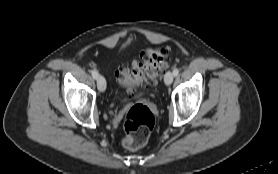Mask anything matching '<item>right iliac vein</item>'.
I'll use <instances>...</instances> for the list:
<instances>
[{"label":"right iliac vein","mask_w":278,"mask_h":174,"mask_svg":"<svg viewBox=\"0 0 278 174\" xmlns=\"http://www.w3.org/2000/svg\"><path fill=\"white\" fill-rule=\"evenodd\" d=\"M97 87L99 89V91L104 92L106 89V81L105 78L103 76H98L97 78Z\"/></svg>","instance_id":"right-iliac-vein-1"}]
</instances>
